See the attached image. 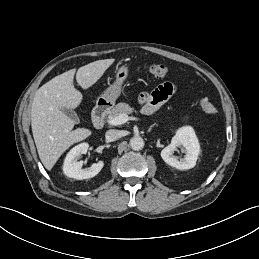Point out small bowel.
Returning <instances> with one entry per match:
<instances>
[{"instance_id":"1","label":"small bowel","mask_w":259,"mask_h":259,"mask_svg":"<svg viewBox=\"0 0 259 259\" xmlns=\"http://www.w3.org/2000/svg\"><path fill=\"white\" fill-rule=\"evenodd\" d=\"M175 92V86L166 82L159 85L151 93H142L139 96V102L143 105L145 113H151L160 107Z\"/></svg>"}]
</instances>
